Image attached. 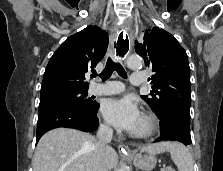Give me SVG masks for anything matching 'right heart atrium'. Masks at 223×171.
I'll return each instance as SVG.
<instances>
[{"label": "right heart atrium", "instance_id": "1", "mask_svg": "<svg viewBox=\"0 0 223 171\" xmlns=\"http://www.w3.org/2000/svg\"><path fill=\"white\" fill-rule=\"evenodd\" d=\"M102 128H103L104 130H109V129H110L109 126H108L107 124H103V125H102Z\"/></svg>", "mask_w": 223, "mask_h": 171}]
</instances>
